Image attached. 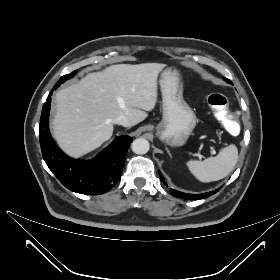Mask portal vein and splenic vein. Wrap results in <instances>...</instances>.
<instances>
[{
    "label": "portal vein and splenic vein",
    "instance_id": "portal-vein-and-splenic-vein-1",
    "mask_svg": "<svg viewBox=\"0 0 280 280\" xmlns=\"http://www.w3.org/2000/svg\"><path fill=\"white\" fill-rule=\"evenodd\" d=\"M213 153H215V150L213 149ZM197 156L201 159L202 158V155L200 154H197Z\"/></svg>",
    "mask_w": 280,
    "mask_h": 280
}]
</instances>
